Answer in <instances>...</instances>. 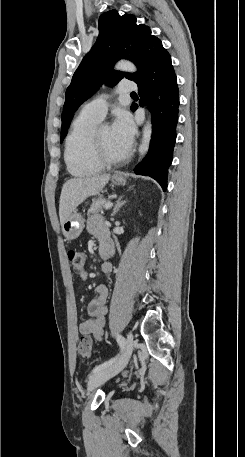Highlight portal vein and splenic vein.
Segmentation results:
<instances>
[{
    "label": "portal vein and splenic vein",
    "instance_id": "portal-vein-and-splenic-vein-1",
    "mask_svg": "<svg viewBox=\"0 0 245 457\" xmlns=\"http://www.w3.org/2000/svg\"><path fill=\"white\" fill-rule=\"evenodd\" d=\"M113 206V202H106L104 208H111Z\"/></svg>",
    "mask_w": 245,
    "mask_h": 457
}]
</instances>
